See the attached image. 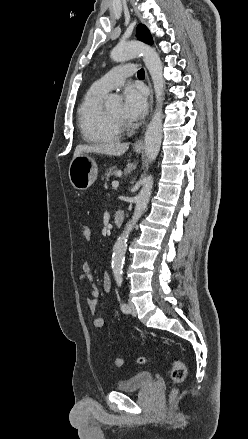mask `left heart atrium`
<instances>
[{
  "label": "left heart atrium",
  "instance_id": "obj_1",
  "mask_svg": "<svg viewBox=\"0 0 248 439\" xmlns=\"http://www.w3.org/2000/svg\"><path fill=\"white\" fill-rule=\"evenodd\" d=\"M123 116L126 120L141 119L147 109L146 93L139 87H129L123 94Z\"/></svg>",
  "mask_w": 248,
  "mask_h": 439
}]
</instances>
